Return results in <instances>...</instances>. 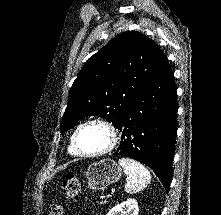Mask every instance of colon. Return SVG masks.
Instances as JSON below:
<instances>
[{
    "mask_svg": "<svg viewBox=\"0 0 221 215\" xmlns=\"http://www.w3.org/2000/svg\"><path fill=\"white\" fill-rule=\"evenodd\" d=\"M80 189V181L73 172L67 173L62 183V194L66 198H74ZM49 215H64L63 206L52 204L49 207Z\"/></svg>",
    "mask_w": 221,
    "mask_h": 215,
    "instance_id": "5ec220e1",
    "label": "colon"
}]
</instances>
